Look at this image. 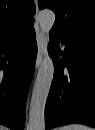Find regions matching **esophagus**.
Masks as SVG:
<instances>
[{"mask_svg":"<svg viewBox=\"0 0 95 130\" xmlns=\"http://www.w3.org/2000/svg\"><path fill=\"white\" fill-rule=\"evenodd\" d=\"M37 44H38V55L36 61V68L38 69L47 51V38L42 30H39L38 32Z\"/></svg>","mask_w":95,"mask_h":130,"instance_id":"obj_1","label":"esophagus"}]
</instances>
